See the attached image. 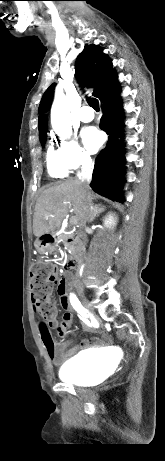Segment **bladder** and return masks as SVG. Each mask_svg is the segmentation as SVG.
<instances>
[{
  "mask_svg": "<svg viewBox=\"0 0 165 461\" xmlns=\"http://www.w3.org/2000/svg\"><path fill=\"white\" fill-rule=\"evenodd\" d=\"M107 361V357L100 353H80L60 368L59 378L77 386L88 385L98 380Z\"/></svg>",
  "mask_w": 165,
  "mask_h": 461,
  "instance_id": "1",
  "label": "bladder"
}]
</instances>
